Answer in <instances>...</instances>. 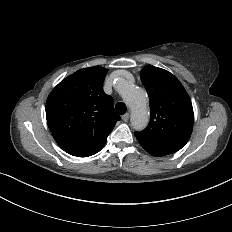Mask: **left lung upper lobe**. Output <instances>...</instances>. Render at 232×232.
<instances>
[{
  "instance_id": "obj_1",
  "label": "left lung upper lobe",
  "mask_w": 232,
  "mask_h": 232,
  "mask_svg": "<svg viewBox=\"0 0 232 232\" xmlns=\"http://www.w3.org/2000/svg\"><path fill=\"white\" fill-rule=\"evenodd\" d=\"M140 76L148 92L151 119L146 129L135 132L136 138L180 150L193 129V107L186 90L173 74L152 65L144 67Z\"/></svg>"
}]
</instances>
